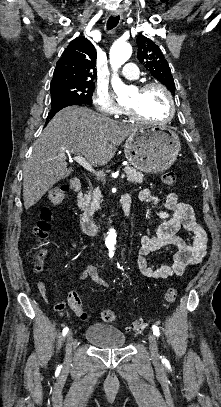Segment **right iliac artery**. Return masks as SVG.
<instances>
[{"label":"right iliac artery","instance_id":"1","mask_svg":"<svg viewBox=\"0 0 221 407\" xmlns=\"http://www.w3.org/2000/svg\"><path fill=\"white\" fill-rule=\"evenodd\" d=\"M68 331H69V328H68V327H65V328L63 329V336H65V335L68 333Z\"/></svg>","mask_w":221,"mask_h":407}]
</instances>
